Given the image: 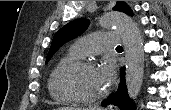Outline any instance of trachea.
Instances as JSON below:
<instances>
[{"mask_svg": "<svg viewBox=\"0 0 171 110\" xmlns=\"http://www.w3.org/2000/svg\"><path fill=\"white\" fill-rule=\"evenodd\" d=\"M116 49H122V46H117Z\"/></svg>", "mask_w": 171, "mask_h": 110, "instance_id": "1", "label": "trachea"}]
</instances>
